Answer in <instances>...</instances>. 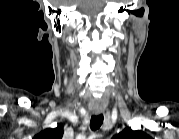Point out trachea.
Instances as JSON below:
<instances>
[{"mask_svg":"<svg viewBox=\"0 0 179 139\" xmlns=\"http://www.w3.org/2000/svg\"><path fill=\"white\" fill-rule=\"evenodd\" d=\"M103 119L104 118H103L102 114L92 116L91 121H90L91 130L95 131V130L99 129L103 123Z\"/></svg>","mask_w":179,"mask_h":139,"instance_id":"1","label":"trachea"}]
</instances>
